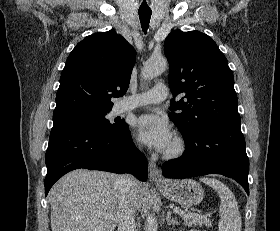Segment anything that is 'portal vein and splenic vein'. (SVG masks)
Listing matches in <instances>:
<instances>
[{"label":"portal vein and splenic vein","instance_id":"portal-vein-and-splenic-vein-1","mask_svg":"<svg viewBox=\"0 0 280 231\" xmlns=\"http://www.w3.org/2000/svg\"><path fill=\"white\" fill-rule=\"evenodd\" d=\"M174 211H176V213H178V211H180V207H174Z\"/></svg>","mask_w":280,"mask_h":231}]
</instances>
